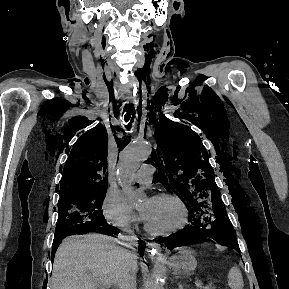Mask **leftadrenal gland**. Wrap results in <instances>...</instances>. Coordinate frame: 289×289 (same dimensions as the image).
Wrapping results in <instances>:
<instances>
[{
    "label": "left adrenal gland",
    "instance_id": "left-adrenal-gland-1",
    "mask_svg": "<svg viewBox=\"0 0 289 289\" xmlns=\"http://www.w3.org/2000/svg\"><path fill=\"white\" fill-rule=\"evenodd\" d=\"M178 289H186L183 283H178Z\"/></svg>",
    "mask_w": 289,
    "mask_h": 289
}]
</instances>
